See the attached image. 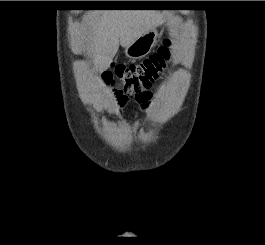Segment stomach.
Returning a JSON list of instances; mask_svg holds the SVG:
<instances>
[{"instance_id": "obj_1", "label": "stomach", "mask_w": 265, "mask_h": 245, "mask_svg": "<svg viewBox=\"0 0 265 245\" xmlns=\"http://www.w3.org/2000/svg\"><path fill=\"white\" fill-rule=\"evenodd\" d=\"M157 30L153 29L141 35L125 48V55L130 59H139L150 53L157 41Z\"/></svg>"}]
</instances>
